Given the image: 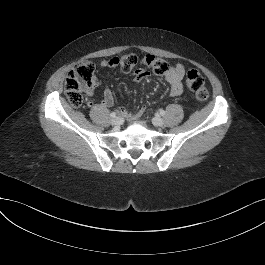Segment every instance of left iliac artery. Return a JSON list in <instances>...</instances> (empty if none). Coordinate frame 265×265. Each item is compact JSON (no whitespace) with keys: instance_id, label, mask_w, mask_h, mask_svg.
I'll return each mask as SVG.
<instances>
[{"instance_id":"obj_1","label":"left iliac artery","mask_w":265,"mask_h":265,"mask_svg":"<svg viewBox=\"0 0 265 265\" xmlns=\"http://www.w3.org/2000/svg\"><path fill=\"white\" fill-rule=\"evenodd\" d=\"M160 115H161V116H164V115H165V111L161 109V110H160Z\"/></svg>"}]
</instances>
